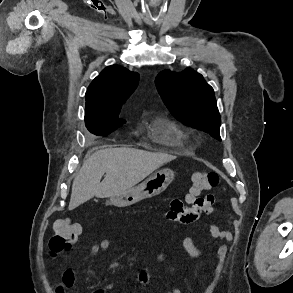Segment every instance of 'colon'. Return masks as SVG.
<instances>
[{
    "label": "colon",
    "mask_w": 293,
    "mask_h": 293,
    "mask_svg": "<svg viewBox=\"0 0 293 293\" xmlns=\"http://www.w3.org/2000/svg\"><path fill=\"white\" fill-rule=\"evenodd\" d=\"M219 174L214 171H197L190 180L188 200L199 203L203 192L219 184ZM80 226L68 219H58L53 224V235L48 243V252L51 256L60 255L68 251L80 235Z\"/></svg>",
    "instance_id": "colon-1"
}]
</instances>
